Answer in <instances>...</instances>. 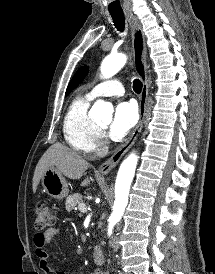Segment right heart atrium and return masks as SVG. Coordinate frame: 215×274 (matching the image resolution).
I'll list each match as a JSON object with an SVG mask.
<instances>
[{"instance_id": "1", "label": "right heart atrium", "mask_w": 215, "mask_h": 274, "mask_svg": "<svg viewBox=\"0 0 215 274\" xmlns=\"http://www.w3.org/2000/svg\"><path fill=\"white\" fill-rule=\"evenodd\" d=\"M107 145L105 134L103 131L98 130L97 134L93 139L92 151L96 153H101L105 150Z\"/></svg>"}]
</instances>
